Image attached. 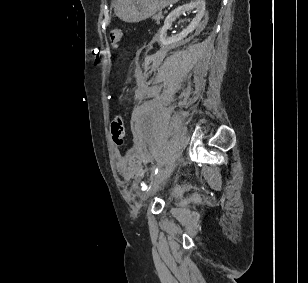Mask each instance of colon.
<instances>
[{
	"mask_svg": "<svg viewBox=\"0 0 308 283\" xmlns=\"http://www.w3.org/2000/svg\"><path fill=\"white\" fill-rule=\"evenodd\" d=\"M123 37V31L119 28L111 29L109 32V39L113 47L117 48ZM111 137L114 144L122 147L125 141L126 128L124 120L121 116H116L110 124Z\"/></svg>",
	"mask_w": 308,
	"mask_h": 283,
	"instance_id": "obj_1",
	"label": "colon"
}]
</instances>
